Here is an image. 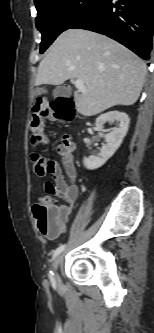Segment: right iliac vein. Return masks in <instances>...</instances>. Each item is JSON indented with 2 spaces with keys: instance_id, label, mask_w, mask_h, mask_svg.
<instances>
[{
  "instance_id": "1",
  "label": "right iliac vein",
  "mask_w": 154,
  "mask_h": 333,
  "mask_svg": "<svg viewBox=\"0 0 154 333\" xmlns=\"http://www.w3.org/2000/svg\"><path fill=\"white\" fill-rule=\"evenodd\" d=\"M59 262H60V256L59 257H57L55 260H54V262H53V269L56 271L57 270V268H58V265H59Z\"/></svg>"
}]
</instances>
